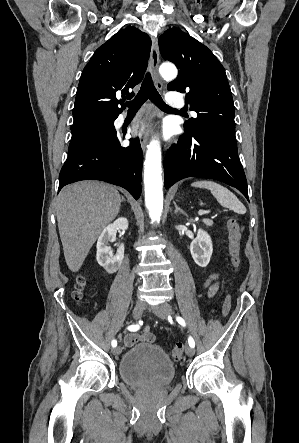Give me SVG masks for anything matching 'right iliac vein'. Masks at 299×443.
Wrapping results in <instances>:
<instances>
[{"instance_id": "1", "label": "right iliac vein", "mask_w": 299, "mask_h": 443, "mask_svg": "<svg viewBox=\"0 0 299 443\" xmlns=\"http://www.w3.org/2000/svg\"><path fill=\"white\" fill-rule=\"evenodd\" d=\"M144 309H145L144 304L141 303V302H137L134 305V308H133V311H132V315H133L134 319H136V320L140 319V317L142 316V314L144 312ZM121 350H122L121 347L117 346V347L112 349V353H113V355L118 356V355H120Z\"/></svg>"}]
</instances>
